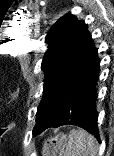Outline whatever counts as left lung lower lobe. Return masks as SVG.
<instances>
[{
    "label": "left lung lower lobe",
    "mask_w": 114,
    "mask_h": 156,
    "mask_svg": "<svg viewBox=\"0 0 114 156\" xmlns=\"http://www.w3.org/2000/svg\"><path fill=\"white\" fill-rule=\"evenodd\" d=\"M99 63L97 49L90 39L67 83L59 110L46 125L33 130V135L49 127L72 124L84 128L99 139L95 108Z\"/></svg>",
    "instance_id": "0a47b994"
}]
</instances>
